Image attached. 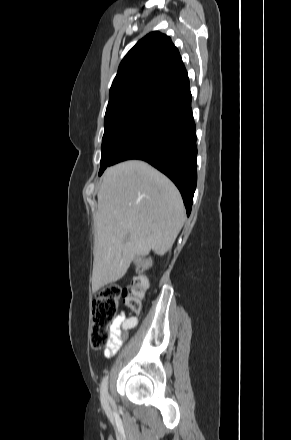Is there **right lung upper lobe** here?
I'll use <instances>...</instances> for the list:
<instances>
[{"label": "right lung upper lobe", "mask_w": 291, "mask_h": 440, "mask_svg": "<svg viewBox=\"0 0 291 440\" xmlns=\"http://www.w3.org/2000/svg\"><path fill=\"white\" fill-rule=\"evenodd\" d=\"M187 77L178 49L170 37L151 32L121 61L109 93V103L140 96L156 98Z\"/></svg>", "instance_id": "obj_1"}]
</instances>
